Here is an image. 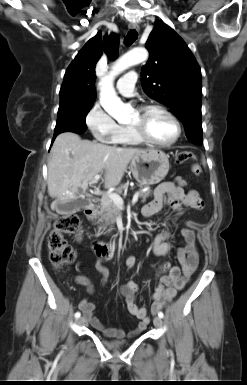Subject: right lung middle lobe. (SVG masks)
Wrapping results in <instances>:
<instances>
[{
	"mask_svg": "<svg viewBox=\"0 0 247 385\" xmlns=\"http://www.w3.org/2000/svg\"><path fill=\"white\" fill-rule=\"evenodd\" d=\"M93 103L94 100L60 99L54 136L62 132H84L87 129L85 119Z\"/></svg>",
	"mask_w": 247,
	"mask_h": 385,
	"instance_id": "obj_1",
	"label": "right lung middle lobe"
}]
</instances>
